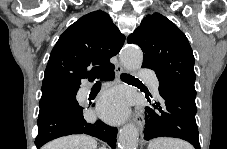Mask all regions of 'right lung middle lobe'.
Returning a JSON list of instances; mask_svg holds the SVG:
<instances>
[{
    "mask_svg": "<svg viewBox=\"0 0 227 149\" xmlns=\"http://www.w3.org/2000/svg\"><path fill=\"white\" fill-rule=\"evenodd\" d=\"M78 89L79 87L77 86L67 84H57L42 88L39 116L49 112L56 107L79 106L78 101L76 100Z\"/></svg>",
    "mask_w": 227,
    "mask_h": 149,
    "instance_id": "right-lung-middle-lobe-1",
    "label": "right lung middle lobe"
}]
</instances>
